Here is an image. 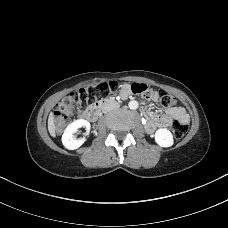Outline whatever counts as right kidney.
<instances>
[{"label": "right kidney", "mask_w": 228, "mask_h": 228, "mask_svg": "<svg viewBox=\"0 0 228 228\" xmlns=\"http://www.w3.org/2000/svg\"><path fill=\"white\" fill-rule=\"evenodd\" d=\"M85 127L87 131L90 130V123L85 119H77L70 123L62 135V143L69 150H75L79 148L85 141L84 138L76 139L73 135L78 128Z\"/></svg>", "instance_id": "right-kidney-1"}]
</instances>
